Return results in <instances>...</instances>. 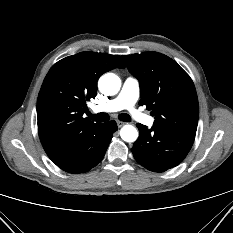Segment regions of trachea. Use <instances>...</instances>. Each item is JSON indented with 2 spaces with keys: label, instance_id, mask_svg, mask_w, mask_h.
<instances>
[{
  "label": "trachea",
  "instance_id": "1",
  "mask_svg": "<svg viewBox=\"0 0 233 233\" xmlns=\"http://www.w3.org/2000/svg\"><path fill=\"white\" fill-rule=\"evenodd\" d=\"M89 118L91 120L97 121V122H105L109 120V115L107 113H98V114H88ZM119 120L124 121V122H130L131 118L128 114L122 113L119 115Z\"/></svg>",
  "mask_w": 233,
  "mask_h": 233
}]
</instances>
